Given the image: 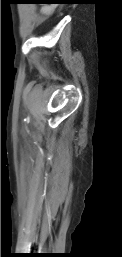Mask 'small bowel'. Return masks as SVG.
Segmentation results:
<instances>
[{"mask_svg":"<svg viewBox=\"0 0 122 257\" xmlns=\"http://www.w3.org/2000/svg\"><path fill=\"white\" fill-rule=\"evenodd\" d=\"M42 12L45 14V15H47V14H49L50 12H51V8L50 7H44L43 9H42Z\"/></svg>","mask_w":122,"mask_h":257,"instance_id":"1","label":"small bowel"}]
</instances>
